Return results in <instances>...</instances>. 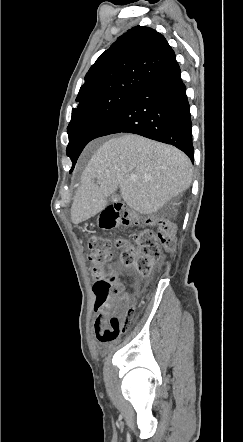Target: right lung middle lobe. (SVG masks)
Here are the masks:
<instances>
[{
  "instance_id": "right-lung-middle-lobe-1",
  "label": "right lung middle lobe",
  "mask_w": 243,
  "mask_h": 442,
  "mask_svg": "<svg viewBox=\"0 0 243 442\" xmlns=\"http://www.w3.org/2000/svg\"><path fill=\"white\" fill-rule=\"evenodd\" d=\"M133 91L117 90L95 97L72 109L71 121L67 127L69 144L66 150L67 156L73 162L72 169L84 147L94 139L96 132Z\"/></svg>"
}]
</instances>
